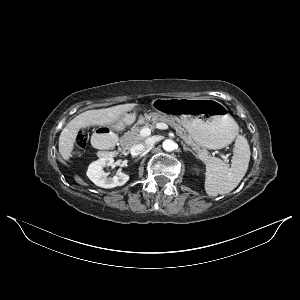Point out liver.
<instances>
[{
  "mask_svg": "<svg viewBox=\"0 0 300 300\" xmlns=\"http://www.w3.org/2000/svg\"><path fill=\"white\" fill-rule=\"evenodd\" d=\"M135 107L136 104H123L106 109L88 110L76 116L60 134L59 153L61 157L66 161L70 159L80 129L116 123L124 113Z\"/></svg>",
  "mask_w": 300,
  "mask_h": 300,
  "instance_id": "liver-1",
  "label": "liver"
}]
</instances>
